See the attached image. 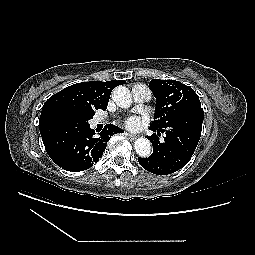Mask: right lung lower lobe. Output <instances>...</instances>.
Here are the masks:
<instances>
[{"instance_id": "right-lung-lower-lobe-1", "label": "right lung lower lobe", "mask_w": 255, "mask_h": 255, "mask_svg": "<svg viewBox=\"0 0 255 255\" xmlns=\"http://www.w3.org/2000/svg\"><path fill=\"white\" fill-rule=\"evenodd\" d=\"M122 129L108 124L99 136L89 124L73 135H68L53 126L40 127V133L50 158L68 171H83L102 157L110 137Z\"/></svg>"}]
</instances>
